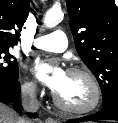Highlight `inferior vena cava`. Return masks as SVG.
Instances as JSON below:
<instances>
[{"label": "inferior vena cava", "mask_w": 118, "mask_h": 123, "mask_svg": "<svg viewBox=\"0 0 118 123\" xmlns=\"http://www.w3.org/2000/svg\"><path fill=\"white\" fill-rule=\"evenodd\" d=\"M21 95L23 108L26 111L36 112L39 108V102L36 97V85L28 84L22 86ZM18 123H30V121L24 118H20Z\"/></svg>", "instance_id": "inferior-vena-cava-1"}]
</instances>
